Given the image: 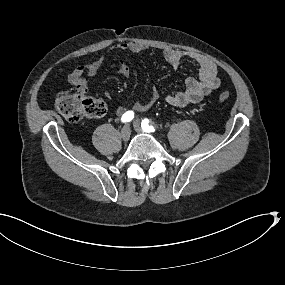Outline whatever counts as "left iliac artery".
I'll return each mask as SVG.
<instances>
[{
    "instance_id": "1",
    "label": "left iliac artery",
    "mask_w": 285,
    "mask_h": 285,
    "mask_svg": "<svg viewBox=\"0 0 285 285\" xmlns=\"http://www.w3.org/2000/svg\"><path fill=\"white\" fill-rule=\"evenodd\" d=\"M141 127L145 132H154L155 131V127L153 125L149 126V120L148 119L142 120Z\"/></svg>"
}]
</instances>
